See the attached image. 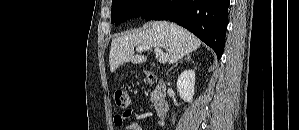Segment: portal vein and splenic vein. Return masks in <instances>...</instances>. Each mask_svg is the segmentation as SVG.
I'll return each mask as SVG.
<instances>
[{"label": "portal vein and splenic vein", "instance_id": "portal-vein-and-splenic-vein-1", "mask_svg": "<svg viewBox=\"0 0 299 130\" xmlns=\"http://www.w3.org/2000/svg\"><path fill=\"white\" fill-rule=\"evenodd\" d=\"M149 49H152V47L150 46H138L136 48V51L137 52H142V51H145V50H149ZM154 53L159 57V62L160 63H165L168 61V54L167 53H164L160 48L158 47H154Z\"/></svg>", "mask_w": 299, "mask_h": 130}]
</instances>
